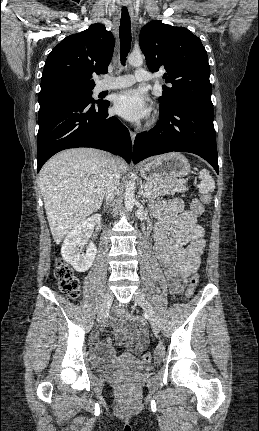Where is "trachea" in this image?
<instances>
[{
    "label": "trachea",
    "mask_w": 259,
    "mask_h": 431,
    "mask_svg": "<svg viewBox=\"0 0 259 431\" xmlns=\"http://www.w3.org/2000/svg\"><path fill=\"white\" fill-rule=\"evenodd\" d=\"M119 35L121 64L125 65L126 57L131 47V21L126 7L122 8Z\"/></svg>",
    "instance_id": "3493384b"
}]
</instances>
